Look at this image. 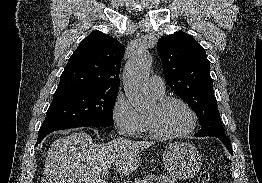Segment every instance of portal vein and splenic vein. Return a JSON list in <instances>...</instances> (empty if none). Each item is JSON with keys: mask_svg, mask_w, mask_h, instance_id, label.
<instances>
[{"mask_svg": "<svg viewBox=\"0 0 262 183\" xmlns=\"http://www.w3.org/2000/svg\"><path fill=\"white\" fill-rule=\"evenodd\" d=\"M109 173H110V170H105V171H103L102 175H103V176H108Z\"/></svg>", "mask_w": 262, "mask_h": 183, "instance_id": "portal-vein-and-splenic-vein-1", "label": "portal vein and splenic vein"}]
</instances>
